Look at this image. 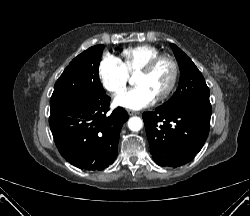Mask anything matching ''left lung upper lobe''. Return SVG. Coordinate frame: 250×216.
Here are the masks:
<instances>
[{"mask_svg": "<svg viewBox=\"0 0 250 216\" xmlns=\"http://www.w3.org/2000/svg\"><path fill=\"white\" fill-rule=\"evenodd\" d=\"M170 46L179 64L180 81L174 95L160 107L170 111L195 105L211 110L210 91L202 73L181 49L174 44Z\"/></svg>", "mask_w": 250, "mask_h": 216, "instance_id": "5c2ea615", "label": "left lung upper lobe"}]
</instances>
